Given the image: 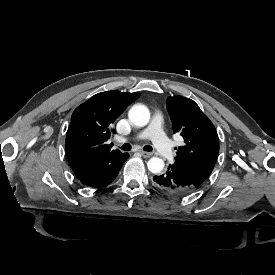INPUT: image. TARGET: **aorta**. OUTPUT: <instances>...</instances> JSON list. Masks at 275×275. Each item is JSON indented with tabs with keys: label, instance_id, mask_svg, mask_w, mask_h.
Masks as SVG:
<instances>
[{
	"label": "aorta",
	"instance_id": "obj_1",
	"mask_svg": "<svg viewBox=\"0 0 275 275\" xmlns=\"http://www.w3.org/2000/svg\"><path fill=\"white\" fill-rule=\"evenodd\" d=\"M130 121L137 127H145L149 124L151 115L149 109L140 104L134 105L129 111ZM164 168V161L160 157H151L148 161V169L152 173H159Z\"/></svg>",
	"mask_w": 275,
	"mask_h": 275
}]
</instances>
